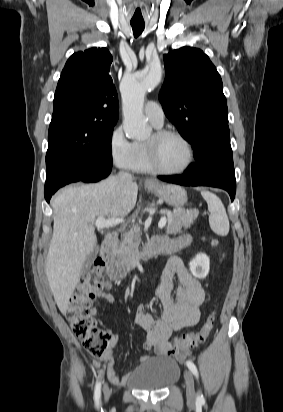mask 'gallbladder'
Wrapping results in <instances>:
<instances>
[{
    "instance_id": "obj_1",
    "label": "gallbladder",
    "mask_w": 283,
    "mask_h": 412,
    "mask_svg": "<svg viewBox=\"0 0 283 412\" xmlns=\"http://www.w3.org/2000/svg\"><path fill=\"white\" fill-rule=\"evenodd\" d=\"M96 254H97V248H94V250L87 256L86 260L84 261L82 268H81V274H84L89 270Z\"/></svg>"
}]
</instances>
